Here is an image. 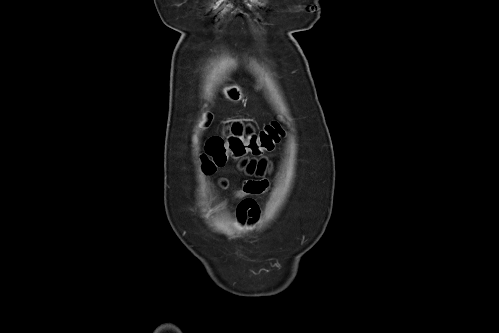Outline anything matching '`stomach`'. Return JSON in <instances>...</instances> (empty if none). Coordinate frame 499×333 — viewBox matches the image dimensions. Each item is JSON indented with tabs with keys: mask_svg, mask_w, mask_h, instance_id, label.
I'll use <instances>...</instances> for the list:
<instances>
[{
	"mask_svg": "<svg viewBox=\"0 0 499 333\" xmlns=\"http://www.w3.org/2000/svg\"><path fill=\"white\" fill-rule=\"evenodd\" d=\"M223 92L226 98L233 102H238L243 98L242 90L238 86L226 87Z\"/></svg>",
	"mask_w": 499,
	"mask_h": 333,
	"instance_id": "1",
	"label": "stomach"
}]
</instances>
